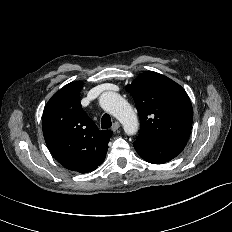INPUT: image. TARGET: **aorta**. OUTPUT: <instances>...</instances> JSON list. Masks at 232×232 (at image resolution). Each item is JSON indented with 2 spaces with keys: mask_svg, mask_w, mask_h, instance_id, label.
Wrapping results in <instances>:
<instances>
[{
  "mask_svg": "<svg viewBox=\"0 0 232 232\" xmlns=\"http://www.w3.org/2000/svg\"><path fill=\"white\" fill-rule=\"evenodd\" d=\"M100 106L112 114L122 125L128 135L138 131L137 116L131 105L118 93L104 92L99 98Z\"/></svg>",
  "mask_w": 232,
  "mask_h": 232,
  "instance_id": "obj_1",
  "label": "aorta"
}]
</instances>
